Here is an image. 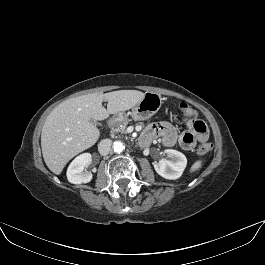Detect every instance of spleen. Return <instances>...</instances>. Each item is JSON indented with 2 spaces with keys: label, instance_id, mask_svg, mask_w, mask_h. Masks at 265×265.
<instances>
[{
  "label": "spleen",
  "instance_id": "3e777b00",
  "mask_svg": "<svg viewBox=\"0 0 265 265\" xmlns=\"http://www.w3.org/2000/svg\"><path fill=\"white\" fill-rule=\"evenodd\" d=\"M201 166H202V161H201V160L196 161V162L192 165V167H191V169H190V172H195V171L199 170V169L201 168Z\"/></svg>",
  "mask_w": 265,
  "mask_h": 265
}]
</instances>
